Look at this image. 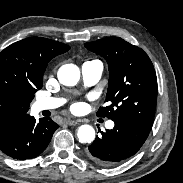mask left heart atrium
<instances>
[{
  "label": "left heart atrium",
  "mask_w": 183,
  "mask_h": 183,
  "mask_svg": "<svg viewBox=\"0 0 183 183\" xmlns=\"http://www.w3.org/2000/svg\"><path fill=\"white\" fill-rule=\"evenodd\" d=\"M77 108H78L77 104L73 105V109H77Z\"/></svg>",
  "instance_id": "obj_1"
}]
</instances>
